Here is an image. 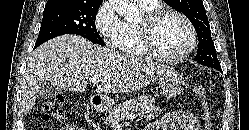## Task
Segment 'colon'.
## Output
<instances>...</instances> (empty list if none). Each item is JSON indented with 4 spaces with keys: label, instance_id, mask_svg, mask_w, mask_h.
Instances as JSON below:
<instances>
[{
    "label": "colon",
    "instance_id": "obj_1",
    "mask_svg": "<svg viewBox=\"0 0 249 130\" xmlns=\"http://www.w3.org/2000/svg\"><path fill=\"white\" fill-rule=\"evenodd\" d=\"M194 93L199 101L200 113L206 130H213L210 99L206 88L198 84L194 87ZM64 102L65 99L62 95H55L43 101L42 111L44 123L59 121L64 118Z\"/></svg>",
    "mask_w": 249,
    "mask_h": 130
}]
</instances>
